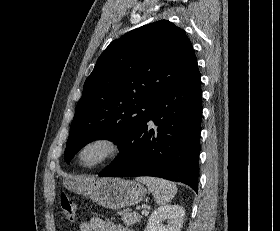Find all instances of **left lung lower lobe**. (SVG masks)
Wrapping results in <instances>:
<instances>
[{
  "instance_id": "0a47b994",
  "label": "left lung lower lobe",
  "mask_w": 280,
  "mask_h": 231,
  "mask_svg": "<svg viewBox=\"0 0 280 231\" xmlns=\"http://www.w3.org/2000/svg\"><path fill=\"white\" fill-rule=\"evenodd\" d=\"M202 90L196 70L167 90L118 145L120 154L99 176H154L189 185L198 193ZM153 120L156 131H147Z\"/></svg>"
}]
</instances>
